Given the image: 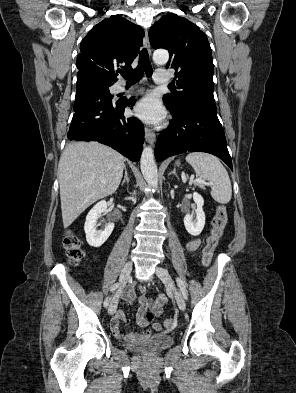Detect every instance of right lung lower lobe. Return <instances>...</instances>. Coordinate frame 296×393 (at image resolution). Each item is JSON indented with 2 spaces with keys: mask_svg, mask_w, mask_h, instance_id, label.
<instances>
[{
  "mask_svg": "<svg viewBox=\"0 0 296 393\" xmlns=\"http://www.w3.org/2000/svg\"><path fill=\"white\" fill-rule=\"evenodd\" d=\"M77 79L75 113L68 139L98 141L132 161H139L144 143L143 125L134 117H124L125 107L134 105V98L112 101L91 76L77 74Z\"/></svg>",
  "mask_w": 296,
  "mask_h": 393,
  "instance_id": "obj_1",
  "label": "right lung lower lobe"
}]
</instances>
